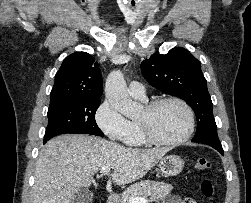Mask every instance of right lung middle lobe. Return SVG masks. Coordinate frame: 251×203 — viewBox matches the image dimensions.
<instances>
[{
	"instance_id": "obj_1",
	"label": "right lung middle lobe",
	"mask_w": 251,
	"mask_h": 203,
	"mask_svg": "<svg viewBox=\"0 0 251 203\" xmlns=\"http://www.w3.org/2000/svg\"><path fill=\"white\" fill-rule=\"evenodd\" d=\"M100 102V99H86L49 107L44 143L56 135L66 133L103 136L95 121Z\"/></svg>"
}]
</instances>
